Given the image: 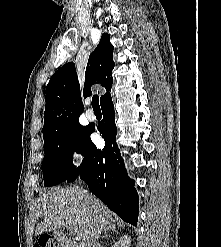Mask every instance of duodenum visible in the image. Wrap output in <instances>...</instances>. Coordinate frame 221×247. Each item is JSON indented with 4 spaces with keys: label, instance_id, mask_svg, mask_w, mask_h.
Instances as JSON below:
<instances>
[{
    "label": "duodenum",
    "instance_id": "410a0bca",
    "mask_svg": "<svg viewBox=\"0 0 221 247\" xmlns=\"http://www.w3.org/2000/svg\"><path fill=\"white\" fill-rule=\"evenodd\" d=\"M54 237L61 247H76L75 243L69 241L66 237L59 233L54 234Z\"/></svg>",
    "mask_w": 221,
    "mask_h": 247
}]
</instances>
